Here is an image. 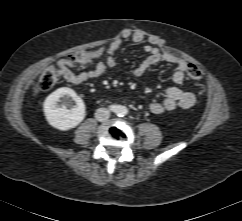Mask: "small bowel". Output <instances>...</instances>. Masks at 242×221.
<instances>
[{"instance_id":"1","label":"small bowel","mask_w":242,"mask_h":221,"mask_svg":"<svg viewBox=\"0 0 242 221\" xmlns=\"http://www.w3.org/2000/svg\"><path fill=\"white\" fill-rule=\"evenodd\" d=\"M145 35L140 31L124 30L119 38L114 39L104 47L98 48L93 53L95 58L105 55L104 60L95 62L93 68L74 72L76 63L70 58H63L57 62L62 77L69 83L78 85L88 81L96 80L105 76L110 69L117 66L116 52L121 47L124 40L134 43H141ZM144 51L148 54L147 58L137 67L131 70L134 77H142L147 70L154 64L166 62L175 67L172 75L174 86L168 87L164 91V99L162 101H153L149 105V109L153 114L159 115L164 112L173 111L177 108L189 109L196 101L194 93L184 91L180 85L184 81V73L188 67V63L171 53L163 52L155 44L149 42L144 46Z\"/></svg>"}]
</instances>
